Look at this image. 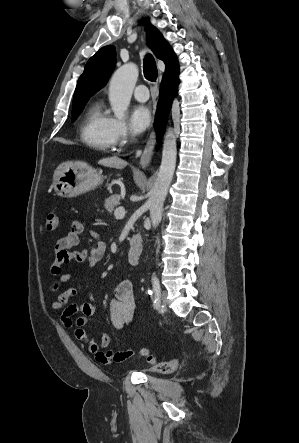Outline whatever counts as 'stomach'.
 Segmentation results:
<instances>
[{
  "label": "stomach",
  "mask_w": 299,
  "mask_h": 443,
  "mask_svg": "<svg viewBox=\"0 0 299 443\" xmlns=\"http://www.w3.org/2000/svg\"><path fill=\"white\" fill-rule=\"evenodd\" d=\"M103 182L102 173L81 162L61 164L53 176L55 192L64 198L86 193Z\"/></svg>",
  "instance_id": "obj_1"
}]
</instances>
